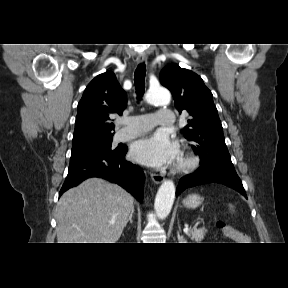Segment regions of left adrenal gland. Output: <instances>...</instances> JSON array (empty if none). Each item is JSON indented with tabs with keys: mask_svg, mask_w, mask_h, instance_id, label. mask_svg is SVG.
<instances>
[{
	"mask_svg": "<svg viewBox=\"0 0 288 288\" xmlns=\"http://www.w3.org/2000/svg\"><path fill=\"white\" fill-rule=\"evenodd\" d=\"M177 238H178L179 243H186L187 242V241H185L183 236H180L179 232H177Z\"/></svg>",
	"mask_w": 288,
	"mask_h": 288,
	"instance_id": "1",
	"label": "left adrenal gland"
}]
</instances>
